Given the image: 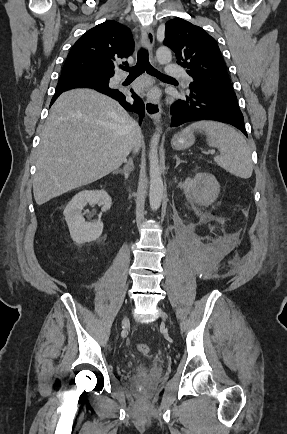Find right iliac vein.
Returning <instances> with one entry per match:
<instances>
[{"label":"right iliac vein","instance_id":"right-iliac-vein-1","mask_svg":"<svg viewBox=\"0 0 287 434\" xmlns=\"http://www.w3.org/2000/svg\"><path fill=\"white\" fill-rule=\"evenodd\" d=\"M128 321H129V320H128L127 315H124V316H123V319H122V324L125 325V324L128 323Z\"/></svg>","mask_w":287,"mask_h":434}]
</instances>
